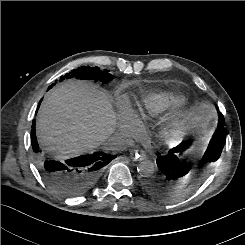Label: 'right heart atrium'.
Instances as JSON below:
<instances>
[{"label": "right heart atrium", "instance_id": "right-heart-atrium-1", "mask_svg": "<svg viewBox=\"0 0 245 245\" xmlns=\"http://www.w3.org/2000/svg\"><path fill=\"white\" fill-rule=\"evenodd\" d=\"M118 130L121 135L127 138L135 137L141 130V122L127 99L118 101Z\"/></svg>", "mask_w": 245, "mask_h": 245}]
</instances>
